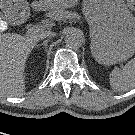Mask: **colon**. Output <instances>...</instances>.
<instances>
[{"label": "colon", "mask_w": 135, "mask_h": 135, "mask_svg": "<svg viewBox=\"0 0 135 135\" xmlns=\"http://www.w3.org/2000/svg\"><path fill=\"white\" fill-rule=\"evenodd\" d=\"M129 10L135 13V0H126Z\"/></svg>", "instance_id": "colon-1"}]
</instances>
